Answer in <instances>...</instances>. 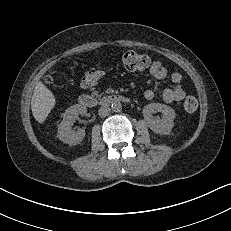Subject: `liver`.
I'll return each instance as SVG.
<instances>
[{"instance_id":"liver-1","label":"liver","mask_w":231,"mask_h":231,"mask_svg":"<svg viewBox=\"0 0 231 231\" xmlns=\"http://www.w3.org/2000/svg\"><path fill=\"white\" fill-rule=\"evenodd\" d=\"M53 93L40 81L36 84L31 100V110L39 123H44L55 106Z\"/></svg>"}]
</instances>
